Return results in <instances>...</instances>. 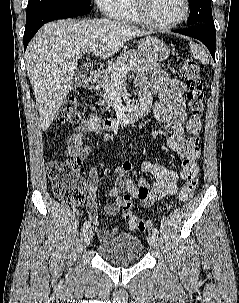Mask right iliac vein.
<instances>
[{
	"mask_svg": "<svg viewBox=\"0 0 239 303\" xmlns=\"http://www.w3.org/2000/svg\"><path fill=\"white\" fill-rule=\"evenodd\" d=\"M92 238H93L92 229H86L83 233V240H82V245L84 248H86L90 244Z\"/></svg>",
	"mask_w": 239,
	"mask_h": 303,
	"instance_id": "1",
	"label": "right iliac vein"
}]
</instances>
